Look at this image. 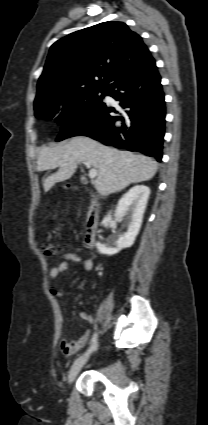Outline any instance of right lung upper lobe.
I'll use <instances>...</instances> for the list:
<instances>
[{
	"label": "right lung upper lobe",
	"mask_w": 208,
	"mask_h": 425,
	"mask_svg": "<svg viewBox=\"0 0 208 425\" xmlns=\"http://www.w3.org/2000/svg\"><path fill=\"white\" fill-rule=\"evenodd\" d=\"M150 52L123 22L107 21L73 32L50 48L35 102L81 89L107 88L122 70Z\"/></svg>",
	"instance_id": "obj_1"
}]
</instances>
